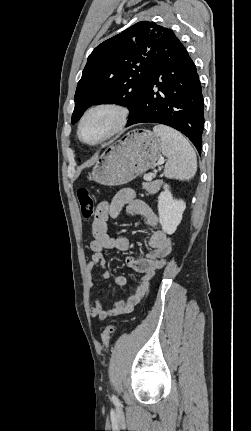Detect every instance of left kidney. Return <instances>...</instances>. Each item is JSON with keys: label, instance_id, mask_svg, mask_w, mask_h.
Returning a JSON list of instances; mask_svg holds the SVG:
<instances>
[{"label": "left kidney", "instance_id": "left-kidney-1", "mask_svg": "<svg viewBox=\"0 0 251 431\" xmlns=\"http://www.w3.org/2000/svg\"><path fill=\"white\" fill-rule=\"evenodd\" d=\"M164 191L158 196L159 222L165 233L173 234L182 220L186 203L181 199L173 198L168 184H164Z\"/></svg>", "mask_w": 251, "mask_h": 431}]
</instances>
